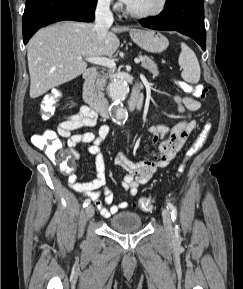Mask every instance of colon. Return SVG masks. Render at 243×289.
<instances>
[{
  "label": "colon",
  "mask_w": 243,
  "mask_h": 289,
  "mask_svg": "<svg viewBox=\"0 0 243 289\" xmlns=\"http://www.w3.org/2000/svg\"><path fill=\"white\" fill-rule=\"evenodd\" d=\"M180 87L186 92L193 93L198 98H205L207 94V88L203 85L193 87L182 82L180 83ZM60 98L61 92L59 90H52L44 96L40 107V113L44 120L53 116ZM209 131L210 125H205L195 142L186 152L184 163L180 166L179 172L183 171L186 161L192 158L202 148ZM31 142L35 147L43 150L51 161L58 164L64 173L72 174L75 171L76 165L72 153L69 150L63 149V144L54 131L46 130L43 133L35 134L31 137ZM137 205L143 211H150L153 209L154 203L150 198H141L137 202Z\"/></svg>",
  "instance_id": "colon-1"
}]
</instances>
